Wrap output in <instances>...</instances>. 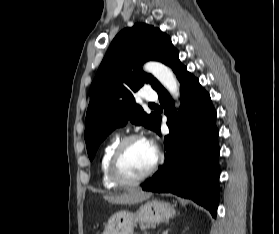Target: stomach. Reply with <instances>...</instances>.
I'll list each match as a JSON object with an SVG mask.
<instances>
[{"mask_svg":"<svg viewBox=\"0 0 279 234\" xmlns=\"http://www.w3.org/2000/svg\"><path fill=\"white\" fill-rule=\"evenodd\" d=\"M174 213L175 210L170 204L152 200L141 205L135 213L119 211L113 214L102 234H133L138 223L158 224L169 220Z\"/></svg>","mask_w":279,"mask_h":234,"instance_id":"obj_1","label":"stomach"}]
</instances>
